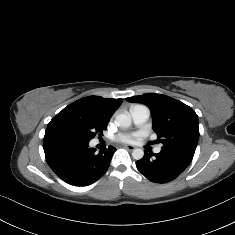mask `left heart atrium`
<instances>
[{
	"label": "left heart atrium",
	"instance_id": "left-heart-atrium-1",
	"mask_svg": "<svg viewBox=\"0 0 235 235\" xmlns=\"http://www.w3.org/2000/svg\"><path fill=\"white\" fill-rule=\"evenodd\" d=\"M130 138L129 135H124V134H121L117 137V140L118 141H127L128 139Z\"/></svg>",
	"mask_w": 235,
	"mask_h": 235
}]
</instances>
